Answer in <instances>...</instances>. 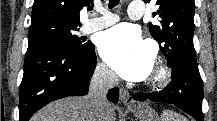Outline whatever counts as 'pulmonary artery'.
<instances>
[{
  "label": "pulmonary artery",
  "mask_w": 217,
  "mask_h": 121,
  "mask_svg": "<svg viewBox=\"0 0 217 121\" xmlns=\"http://www.w3.org/2000/svg\"><path fill=\"white\" fill-rule=\"evenodd\" d=\"M145 13V7L141 2H131L128 9V16L131 19H139ZM119 20L118 16L104 11L100 17L86 21L81 30L83 33H92L102 30L116 23Z\"/></svg>",
  "instance_id": "e3ab8cb5"
}]
</instances>
